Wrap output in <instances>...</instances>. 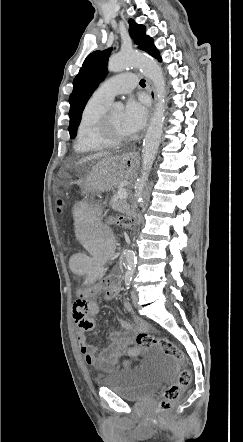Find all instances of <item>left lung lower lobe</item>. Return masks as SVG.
Segmentation results:
<instances>
[{
    "label": "left lung lower lobe",
    "mask_w": 243,
    "mask_h": 442,
    "mask_svg": "<svg viewBox=\"0 0 243 442\" xmlns=\"http://www.w3.org/2000/svg\"><path fill=\"white\" fill-rule=\"evenodd\" d=\"M151 56L155 57L156 59H158L159 61H161V57L160 54L158 52V50L155 48L152 53L150 54Z\"/></svg>",
    "instance_id": "obj_1"
}]
</instances>
